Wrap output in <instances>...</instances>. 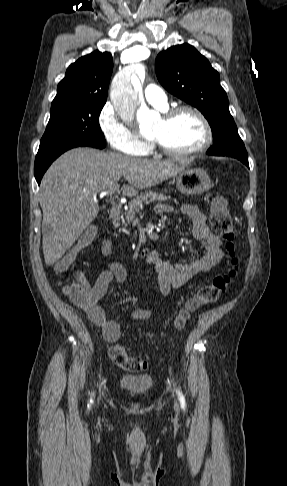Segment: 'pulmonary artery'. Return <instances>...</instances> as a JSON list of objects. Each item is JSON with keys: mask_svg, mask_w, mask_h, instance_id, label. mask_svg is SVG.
I'll list each match as a JSON object with an SVG mask.
<instances>
[{"mask_svg": "<svg viewBox=\"0 0 287 486\" xmlns=\"http://www.w3.org/2000/svg\"><path fill=\"white\" fill-rule=\"evenodd\" d=\"M144 97L151 105L165 110L168 106L166 93L155 84H149L144 90Z\"/></svg>", "mask_w": 287, "mask_h": 486, "instance_id": "e3ab8cb5", "label": "pulmonary artery"}]
</instances>
